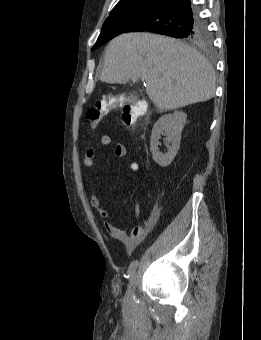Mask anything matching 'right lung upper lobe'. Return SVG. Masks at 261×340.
Instances as JSON below:
<instances>
[{"label": "right lung upper lobe", "instance_id": "right-lung-upper-lobe-1", "mask_svg": "<svg viewBox=\"0 0 261 340\" xmlns=\"http://www.w3.org/2000/svg\"><path fill=\"white\" fill-rule=\"evenodd\" d=\"M139 1L160 2L161 0H120L116 6L124 5V4H128V3H133V2H139Z\"/></svg>", "mask_w": 261, "mask_h": 340}]
</instances>
